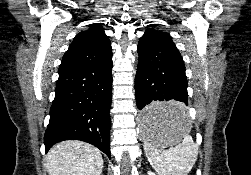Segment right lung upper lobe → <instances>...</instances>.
<instances>
[{
	"label": "right lung upper lobe",
	"mask_w": 251,
	"mask_h": 175,
	"mask_svg": "<svg viewBox=\"0 0 251 175\" xmlns=\"http://www.w3.org/2000/svg\"><path fill=\"white\" fill-rule=\"evenodd\" d=\"M112 55L111 43L100 23L77 34L64 54L59 71L99 64Z\"/></svg>",
	"instance_id": "obj_1"
}]
</instances>
